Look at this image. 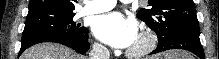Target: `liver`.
<instances>
[{
	"label": "liver",
	"mask_w": 219,
	"mask_h": 59,
	"mask_svg": "<svg viewBox=\"0 0 219 59\" xmlns=\"http://www.w3.org/2000/svg\"><path fill=\"white\" fill-rule=\"evenodd\" d=\"M20 59H86L73 50L54 43H42L28 48Z\"/></svg>",
	"instance_id": "6515ba94"
}]
</instances>
